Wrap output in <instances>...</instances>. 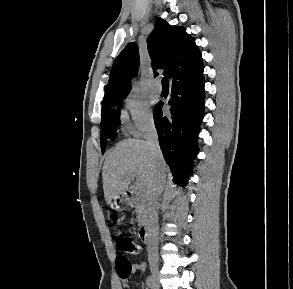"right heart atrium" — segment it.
I'll use <instances>...</instances> for the list:
<instances>
[{
  "mask_svg": "<svg viewBox=\"0 0 293 289\" xmlns=\"http://www.w3.org/2000/svg\"><path fill=\"white\" fill-rule=\"evenodd\" d=\"M124 106L129 120V128L136 136H141L154 127V117L150 104L137 92L129 93Z\"/></svg>",
  "mask_w": 293,
  "mask_h": 289,
  "instance_id": "d8ad5b80",
  "label": "right heart atrium"
}]
</instances>
